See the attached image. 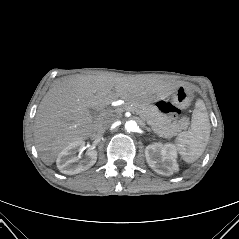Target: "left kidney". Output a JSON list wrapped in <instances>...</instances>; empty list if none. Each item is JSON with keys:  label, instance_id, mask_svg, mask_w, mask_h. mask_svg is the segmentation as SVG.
Here are the masks:
<instances>
[{"label": "left kidney", "instance_id": "5707ae66", "mask_svg": "<svg viewBox=\"0 0 239 239\" xmlns=\"http://www.w3.org/2000/svg\"><path fill=\"white\" fill-rule=\"evenodd\" d=\"M148 165L158 174L171 176L179 170L177 149L171 143H153L145 148Z\"/></svg>", "mask_w": 239, "mask_h": 239}]
</instances>
